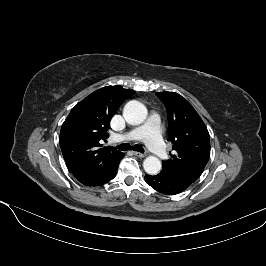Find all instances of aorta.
Here are the masks:
<instances>
[{
    "mask_svg": "<svg viewBox=\"0 0 266 266\" xmlns=\"http://www.w3.org/2000/svg\"><path fill=\"white\" fill-rule=\"evenodd\" d=\"M124 116L129 123L139 125L147 118V108L137 100L129 101L124 107ZM143 167L147 174L156 175L160 172L162 164L159 158L148 156L143 162Z\"/></svg>",
    "mask_w": 266,
    "mask_h": 266,
    "instance_id": "1",
    "label": "aorta"
}]
</instances>
